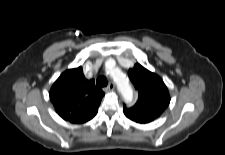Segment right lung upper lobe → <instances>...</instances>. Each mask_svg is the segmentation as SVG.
Returning <instances> with one entry per match:
<instances>
[{"mask_svg": "<svg viewBox=\"0 0 225 155\" xmlns=\"http://www.w3.org/2000/svg\"><path fill=\"white\" fill-rule=\"evenodd\" d=\"M49 96L62 119L83 124L97 114L104 92L96 89L94 80H87L82 67H78L60 75Z\"/></svg>", "mask_w": 225, "mask_h": 155, "instance_id": "obj_1", "label": "right lung upper lobe"}]
</instances>
